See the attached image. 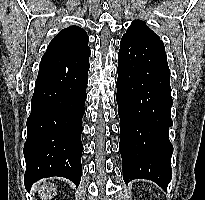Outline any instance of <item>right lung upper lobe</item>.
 <instances>
[{
    "label": "right lung upper lobe",
    "instance_id": "right-lung-upper-lobe-1",
    "mask_svg": "<svg viewBox=\"0 0 205 200\" xmlns=\"http://www.w3.org/2000/svg\"><path fill=\"white\" fill-rule=\"evenodd\" d=\"M88 47V36L84 29L70 26L61 30L50 42L46 53H76Z\"/></svg>",
    "mask_w": 205,
    "mask_h": 200
}]
</instances>
